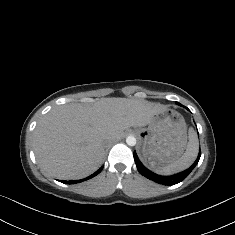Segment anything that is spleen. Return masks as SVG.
<instances>
[{"label": "spleen", "mask_w": 235, "mask_h": 235, "mask_svg": "<svg viewBox=\"0 0 235 235\" xmlns=\"http://www.w3.org/2000/svg\"><path fill=\"white\" fill-rule=\"evenodd\" d=\"M198 139L196 132L192 127L189 128V142L184 154L178 159L154 169V172L159 175H172L189 168L198 155Z\"/></svg>", "instance_id": "3e777b00"}]
</instances>
